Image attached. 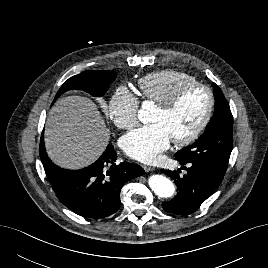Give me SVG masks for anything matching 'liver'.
I'll return each instance as SVG.
<instances>
[{"label":"liver","mask_w":268,"mask_h":268,"mask_svg":"<svg viewBox=\"0 0 268 268\" xmlns=\"http://www.w3.org/2000/svg\"><path fill=\"white\" fill-rule=\"evenodd\" d=\"M110 139L103 116L89 98L67 96L51 108L44 140L50 159L66 169H81L96 161Z\"/></svg>","instance_id":"liver-1"}]
</instances>
